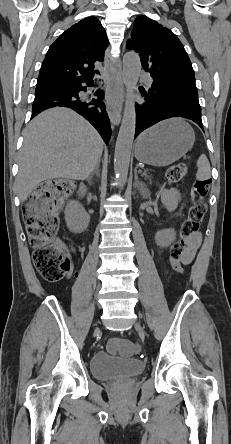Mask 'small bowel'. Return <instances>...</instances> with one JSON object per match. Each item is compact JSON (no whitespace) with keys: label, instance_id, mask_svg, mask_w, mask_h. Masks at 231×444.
Wrapping results in <instances>:
<instances>
[{"label":"small bowel","instance_id":"c3829d8e","mask_svg":"<svg viewBox=\"0 0 231 444\" xmlns=\"http://www.w3.org/2000/svg\"><path fill=\"white\" fill-rule=\"evenodd\" d=\"M162 201L166 205V207L170 210H173L178 207L180 202L179 192L175 189H163L162 190ZM201 243V235L196 233L189 241L188 247L183 254V262L185 264L191 263L193 260L197 249L199 248Z\"/></svg>","mask_w":231,"mask_h":444}]
</instances>
